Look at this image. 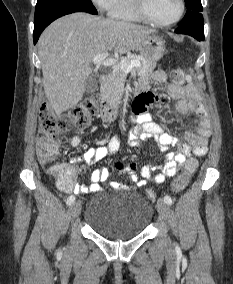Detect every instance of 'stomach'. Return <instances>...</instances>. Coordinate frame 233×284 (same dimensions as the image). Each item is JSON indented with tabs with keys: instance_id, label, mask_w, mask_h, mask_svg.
<instances>
[{
	"instance_id": "0dacf381",
	"label": "stomach",
	"mask_w": 233,
	"mask_h": 284,
	"mask_svg": "<svg viewBox=\"0 0 233 284\" xmlns=\"http://www.w3.org/2000/svg\"><path fill=\"white\" fill-rule=\"evenodd\" d=\"M139 51L143 58L156 64L165 52V42L155 34L149 35L141 43Z\"/></svg>"
}]
</instances>
